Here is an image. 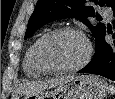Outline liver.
Returning a JSON list of instances; mask_svg holds the SVG:
<instances>
[{
  "instance_id": "obj_1",
  "label": "liver",
  "mask_w": 115,
  "mask_h": 99,
  "mask_svg": "<svg viewBox=\"0 0 115 99\" xmlns=\"http://www.w3.org/2000/svg\"><path fill=\"white\" fill-rule=\"evenodd\" d=\"M74 75H68V76H63L59 78H54L46 81H33V82H27L21 85V93L23 94H29V93H34L38 91H44L46 89H50L53 87H56L63 82L73 78Z\"/></svg>"
}]
</instances>
